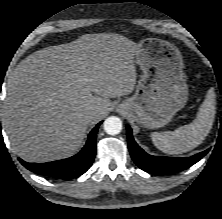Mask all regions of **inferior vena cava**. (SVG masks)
Instances as JSON below:
<instances>
[{"label":"inferior vena cava","instance_id":"602c4592","mask_svg":"<svg viewBox=\"0 0 222 219\" xmlns=\"http://www.w3.org/2000/svg\"><path fill=\"white\" fill-rule=\"evenodd\" d=\"M98 112V109H94L90 112L91 115H95Z\"/></svg>","mask_w":222,"mask_h":219}]
</instances>
